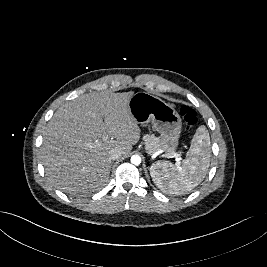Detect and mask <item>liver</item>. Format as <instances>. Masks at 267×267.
<instances>
[{
  "label": "liver",
  "mask_w": 267,
  "mask_h": 267,
  "mask_svg": "<svg viewBox=\"0 0 267 267\" xmlns=\"http://www.w3.org/2000/svg\"><path fill=\"white\" fill-rule=\"evenodd\" d=\"M134 92H94L60 107L43 133L41 161L49 181L70 194H89L109 181L113 149L128 156L141 130L128 109ZM104 135L110 140L101 139ZM98 141L92 147L88 143Z\"/></svg>",
  "instance_id": "1"
}]
</instances>
